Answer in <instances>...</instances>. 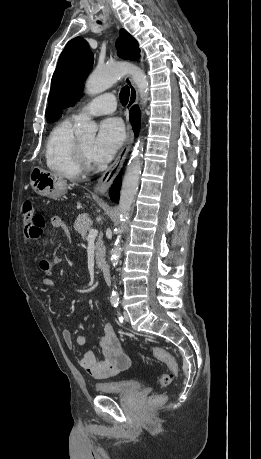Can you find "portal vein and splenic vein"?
<instances>
[{"label":"portal vein and splenic vein","instance_id":"portal-vein-and-splenic-vein-1","mask_svg":"<svg viewBox=\"0 0 261 459\" xmlns=\"http://www.w3.org/2000/svg\"><path fill=\"white\" fill-rule=\"evenodd\" d=\"M98 234V231L96 229H90L89 230V235H88V239H94Z\"/></svg>","mask_w":261,"mask_h":459}]
</instances>
